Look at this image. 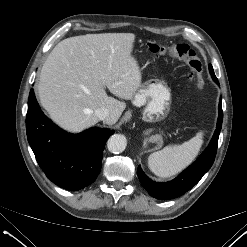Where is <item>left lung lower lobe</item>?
Returning a JSON list of instances; mask_svg holds the SVG:
<instances>
[{"label": "left lung lower lobe", "mask_w": 247, "mask_h": 247, "mask_svg": "<svg viewBox=\"0 0 247 247\" xmlns=\"http://www.w3.org/2000/svg\"><path fill=\"white\" fill-rule=\"evenodd\" d=\"M212 78L216 83H219L216 77ZM222 121L223 111L220 100L217 126L209 146L192 165L172 181L163 183L154 182L144 174L140 166L138 167L139 180L151 196L157 199H173L185 194L200 181L215 160Z\"/></svg>", "instance_id": "obj_1"}]
</instances>
